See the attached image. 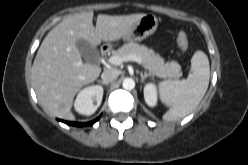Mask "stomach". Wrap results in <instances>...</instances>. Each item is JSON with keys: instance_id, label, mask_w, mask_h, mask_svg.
I'll list each match as a JSON object with an SVG mask.
<instances>
[{"instance_id": "stomach-1", "label": "stomach", "mask_w": 248, "mask_h": 165, "mask_svg": "<svg viewBox=\"0 0 248 165\" xmlns=\"http://www.w3.org/2000/svg\"><path fill=\"white\" fill-rule=\"evenodd\" d=\"M158 27V19L153 14H145L123 38L127 41H141L153 34Z\"/></svg>"}]
</instances>
